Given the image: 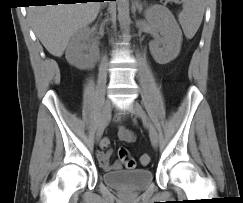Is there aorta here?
<instances>
[{"label":"aorta","mask_w":243,"mask_h":203,"mask_svg":"<svg viewBox=\"0 0 243 203\" xmlns=\"http://www.w3.org/2000/svg\"><path fill=\"white\" fill-rule=\"evenodd\" d=\"M117 5L121 30L125 36H128L130 32L129 0H117Z\"/></svg>","instance_id":"762f6f07"}]
</instances>
